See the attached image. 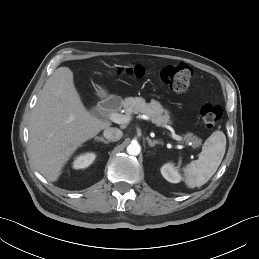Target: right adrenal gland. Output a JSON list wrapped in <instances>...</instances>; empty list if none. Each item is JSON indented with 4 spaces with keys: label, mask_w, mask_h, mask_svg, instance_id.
Instances as JSON below:
<instances>
[{
    "label": "right adrenal gland",
    "mask_w": 259,
    "mask_h": 259,
    "mask_svg": "<svg viewBox=\"0 0 259 259\" xmlns=\"http://www.w3.org/2000/svg\"><path fill=\"white\" fill-rule=\"evenodd\" d=\"M95 140H96V141H101V142H103V143H105V144L110 143V141L105 140L103 137H95Z\"/></svg>",
    "instance_id": "obj_1"
}]
</instances>
